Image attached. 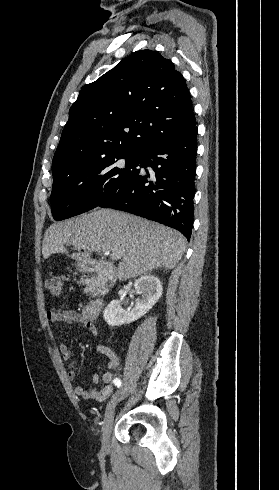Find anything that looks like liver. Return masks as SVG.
I'll use <instances>...</instances> for the list:
<instances>
[{"label":"liver","instance_id":"obj_1","mask_svg":"<svg viewBox=\"0 0 279 490\" xmlns=\"http://www.w3.org/2000/svg\"><path fill=\"white\" fill-rule=\"evenodd\" d=\"M66 246L78 250L69 258L76 260L80 270L90 264L92 252H109L121 260L117 278L131 280L156 268L173 270L185 252L186 238L172 228L138 216L95 208L90 214L52 224L46 230L42 242L44 260L52 254H68Z\"/></svg>","mask_w":279,"mask_h":490}]
</instances>
